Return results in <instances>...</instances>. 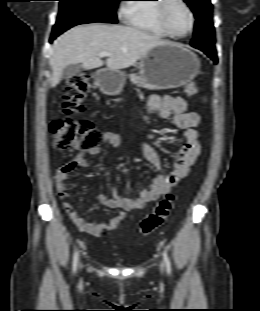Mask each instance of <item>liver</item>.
Returning a JSON list of instances; mask_svg holds the SVG:
<instances>
[{"mask_svg": "<svg viewBox=\"0 0 260 311\" xmlns=\"http://www.w3.org/2000/svg\"><path fill=\"white\" fill-rule=\"evenodd\" d=\"M146 31L134 27L90 24L80 25L61 35L54 43L50 58L51 87L59 84L63 69L71 64H81L85 69L103 66L101 52L112 53L106 60L108 69L130 67L144 57L153 47L166 44Z\"/></svg>", "mask_w": 260, "mask_h": 311, "instance_id": "liver-1", "label": "liver"}]
</instances>
